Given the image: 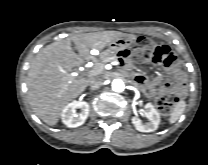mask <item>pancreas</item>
<instances>
[{
  "label": "pancreas",
  "mask_w": 208,
  "mask_h": 165,
  "mask_svg": "<svg viewBox=\"0 0 208 165\" xmlns=\"http://www.w3.org/2000/svg\"><path fill=\"white\" fill-rule=\"evenodd\" d=\"M115 60H117L116 54L113 51L107 49L100 54L99 60L96 63L97 65L96 69H98L100 72L107 62H111Z\"/></svg>",
  "instance_id": "1"
}]
</instances>
